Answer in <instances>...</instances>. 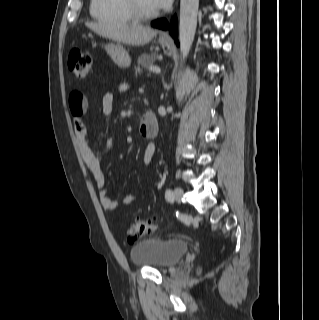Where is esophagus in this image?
<instances>
[{
  "instance_id": "1",
  "label": "esophagus",
  "mask_w": 319,
  "mask_h": 320,
  "mask_svg": "<svg viewBox=\"0 0 319 320\" xmlns=\"http://www.w3.org/2000/svg\"><path fill=\"white\" fill-rule=\"evenodd\" d=\"M162 37H164V38H168L167 33H163V34H162Z\"/></svg>"
}]
</instances>
